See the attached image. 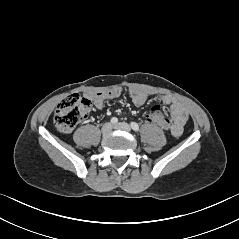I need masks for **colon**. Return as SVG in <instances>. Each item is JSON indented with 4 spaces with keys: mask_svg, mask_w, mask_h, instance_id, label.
<instances>
[{
    "mask_svg": "<svg viewBox=\"0 0 239 239\" xmlns=\"http://www.w3.org/2000/svg\"><path fill=\"white\" fill-rule=\"evenodd\" d=\"M91 112V100L79 94H72L61 100L57 106L54 124L63 133H71L75 127L84 121ZM147 126L168 124L165 119V108L160 104H152L144 115Z\"/></svg>",
    "mask_w": 239,
    "mask_h": 239,
    "instance_id": "colon-1",
    "label": "colon"
}]
</instances>
